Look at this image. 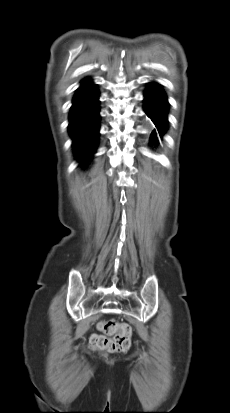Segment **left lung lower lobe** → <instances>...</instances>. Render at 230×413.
Returning a JSON list of instances; mask_svg holds the SVG:
<instances>
[{"instance_id": "0a47b994", "label": "left lung lower lobe", "mask_w": 230, "mask_h": 413, "mask_svg": "<svg viewBox=\"0 0 230 413\" xmlns=\"http://www.w3.org/2000/svg\"><path fill=\"white\" fill-rule=\"evenodd\" d=\"M144 111L157 129L151 133V143L159 144L158 136L162 137L168 129L167 114L169 103L167 96L158 83H149L144 92Z\"/></svg>"}]
</instances>
